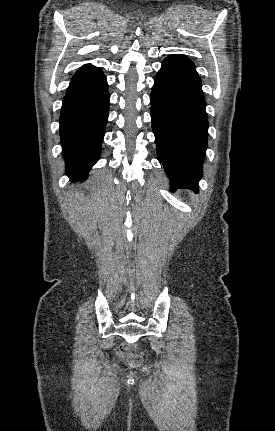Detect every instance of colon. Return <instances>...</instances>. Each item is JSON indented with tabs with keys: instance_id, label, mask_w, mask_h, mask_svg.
Instances as JSON below:
<instances>
[{
	"instance_id": "obj_1",
	"label": "colon",
	"mask_w": 275,
	"mask_h": 431,
	"mask_svg": "<svg viewBox=\"0 0 275 431\" xmlns=\"http://www.w3.org/2000/svg\"><path fill=\"white\" fill-rule=\"evenodd\" d=\"M120 353L126 358L129 365L133 368H139L143 364L142 357L136 353V347L132 343L124 344L120 349Z\"/></svg>"
}]
</instances>
